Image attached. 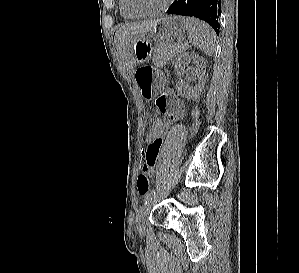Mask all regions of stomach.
<instances>
[{
	"label": "stomach",
	"mask_w": 299,
	"mask_h": 273,
	"mask_svg": "<svg viewBox=\"0 0 299 273\" xmlns=\"http://www.w3.org/2000/svg\"><path fill=\"white\" fill-rule=\"evenodd\" d=\"M158 23L145 39L138 40L134 45L135 64H146V59H142L147 48H152L150 39H155L164 43L183 37L187 30L186 21L179 16H166L158 19ZM164 73L152 67H135V82L141 94L146 96V101H155V96L151 93L161 88L164 83Z\"/></svg>",
	"instance_id": "obj_1"
}]
</instances>
